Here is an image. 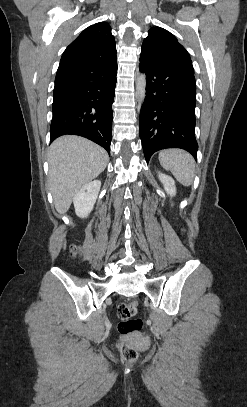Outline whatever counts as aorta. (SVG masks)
<instances>
[{"mask_svg": "<svg viewBox=\"0 0 247 407\" xmlns=\"http://www.w3.org/2000/svg\"><path fill=\"white\" fill-rule=\"evenodd\" d=\"M136 95L142 103L146 97V77L144 74H139L136 79Z\"/></svg>", "mask_w": 247, "mask_h": 407, "instance_id": "obj_1", "label": "aorta"}]
</instances>
